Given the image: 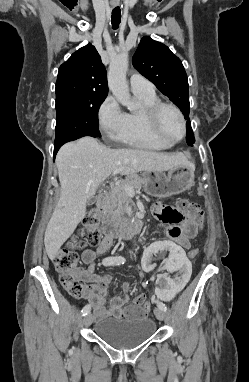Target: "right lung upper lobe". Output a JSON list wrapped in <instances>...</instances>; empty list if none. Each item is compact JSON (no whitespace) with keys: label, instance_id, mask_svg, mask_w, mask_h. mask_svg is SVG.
<instances>
[{"label":"right lung upper lobe","instance_id":"1","mask_svg":"<svg viewBox=\"0 0 249 382\" xmlns=\"http://www.w3.org/2000/svg\"><path fill=\"white\" fill-rule=\"evenodd\" d=\"M56 107L106 98V70L92 44L73 53L63 63L56 82Z\"/></svg>","mask_w":249,"mask_h":382}]
</instances>
